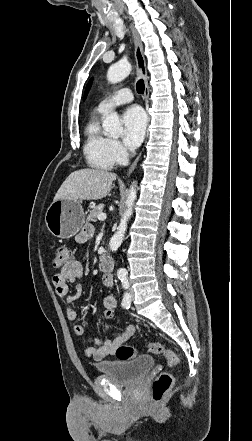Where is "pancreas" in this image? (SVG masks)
<instances>
[{
  "label": "pancreas",
  "mask_w": 252,
  "mask_h": 441,
  "mask_svg": "<svg viewBox=\"0 0 252 441\" xmlns=\"http://www.w3.org/2000/svg\"><path fill=\"white\" fill-rule=\"evenodd\" d=\"M102 212H103V205L96 206L90 211L89 215L87 216V220L95 222L98 215Z\"/></svg>",
  "instance_id": "obj_1"
}]
</instances>
